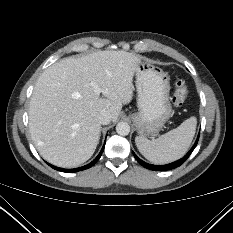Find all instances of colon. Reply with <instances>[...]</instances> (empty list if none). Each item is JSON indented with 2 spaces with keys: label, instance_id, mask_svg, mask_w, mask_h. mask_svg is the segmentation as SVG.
I'll list each match as a JSON object with an SVG mask.
<instances>
[{
  "label": "colon",
  "instance_id": "5ec220e1",
  "mask_svg": "<svg viewBox=\"0 0 233 233\" xmlns=\"http://www.w3.org/2000/svg\"><path fill=\"white\" fill-rule=\"evenodd\" d=\"M189 95V89L186 81L182 77H177L175 82V91L172 97V103L175 107L183 106Z\"/></svg>",
  "mask_w": 233,
  "mask_h": 233
}]
</instances>
